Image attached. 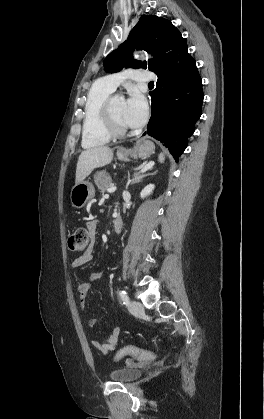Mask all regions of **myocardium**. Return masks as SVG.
<instances>
[{"instance_id": "f54148a6", "label": "myocardium", "mask_w": 264, "mask_h": 419, "mask_svg": "<svg viewBox=\"0 0 264 419\" xmlns=\"http://www.w3.org/2000/svg\"><path fill=\"white\" fill-rule=\"evenodd\" d=\"M117 97V94H111L103 105L104 122L111 137H123L128 133V128L120 124L113 114L112 106Z\"/></svg>"}]
</instances>
